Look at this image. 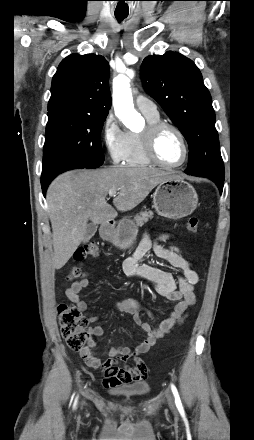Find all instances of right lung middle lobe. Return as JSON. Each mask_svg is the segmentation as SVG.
Segmentation results:
<instances>
[{
  "label": "right lung middle lobe",
  "mask_w": 254,
  "mask_h": 440,
  "mask_svg": "<svg viewBox=\"0 0 254 440\" xmlns=\"http://www.w3.org/2000/svg\"><path fill=\"white\" fill-rule=\"evenodd\" d=\"M106 117L71 109L48 112L41 182H51L70 169L101 166L100 136Z\"/></svg>",
  "instance_id": "obj_1"
}]
</instances>
